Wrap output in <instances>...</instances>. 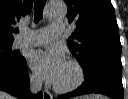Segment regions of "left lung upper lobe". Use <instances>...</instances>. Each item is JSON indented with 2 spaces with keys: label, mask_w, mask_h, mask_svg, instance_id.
<instances>
[{
  "label": "left lung upper lobe",
  "mask_w": 128,
  "mask_h": 99,
  "mask_svg": "<svg viewBox=\"0 0 128 99\" xmlns=\"http://www.w3.org/2000/svg\"><path fill=\"white\" fill-rule=\"evenodd\" d=\"M69 22L76 29L68 39V47L80 64L96 51L121 53L119 28L110 0H65Z\"/></svg>",
  "instance_id": "5c2ea615"
}]
</instances>
